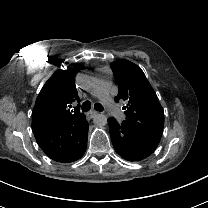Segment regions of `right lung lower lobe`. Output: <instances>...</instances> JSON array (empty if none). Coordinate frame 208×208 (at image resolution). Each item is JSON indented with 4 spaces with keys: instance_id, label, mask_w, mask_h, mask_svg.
<instances>
[{
    "instance_id": "1",
    "label": "right lung lower lobe",
    "mask_w": 208,
    "mask_h": 208,
    "mask_svg": "<svg viewBox=\"0 0 208 208\" xmlns=\"http://www.w3.org/2000/svg\"><path fill=\"white\" fill-rule=\"evenodd\" d=\"M88 122L83 115L69 123L33 128L38 145L57 162L68 163L80 159L87 147Z\"/></svg>"
}]
</instances>
